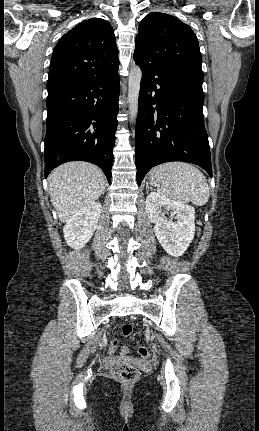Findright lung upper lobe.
Masks as SVG:
<instances>
[{"instance_id":"right-lung-upper-lobe-1","label":"right lung upper lobe","mask_w":259,"mask_h":431,"mask_svg":"<svg viewBox=\"0 0 259 431\" xmlns=\"http://www.w3.org/2000/svg\"><path fill=\"white\" fill-rule=\"evenodd\" d=\"M116 37L109 22L92 18L67 32L54 48L47 89L118 71Z\"/></svg>"}]
</instances>
